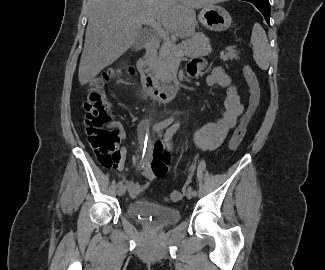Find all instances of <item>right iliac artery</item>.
I'll list each match as a JSON object with an SVG mask.
<instances>
[{"label":"right iliac artery","mask_w":325,"mask_h":270,"mask_svg":"<svg viewBox=\"0 0 325 270\" xmlns=\"http://www.w3.org/2000/svg\"><path fill=\"white\" fill-rule=\"evenodd\" d=\"M173 120L174 119L172 117H170V118H168V119H166V120H164L162 122L156 123L153 126V130L154 131H159V130L169 126L173 122ZM121 185H123V181H119L118 184H117L118 187L121 186Z\"/></svg>","instance_id":"obj_1"}]
</instances>
